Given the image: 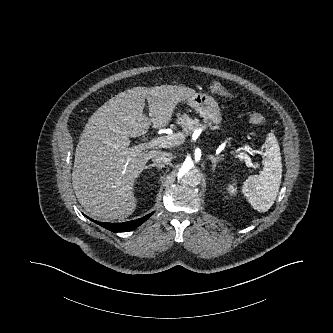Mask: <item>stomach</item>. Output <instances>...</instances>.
Masks as SVG:
<instances>
[{"label":"stomach","mask_w":333,"mask_h":333,"mask_svg":"<svg viewBox=\"0 0 333 333\" xmlns=\"http://www.w3.org/2000/svg\"><path fill=\"white\" fill-rule=\"evenodd\" d=\"M209 126L220 125L222 116L217 101L204 93L195 92L184 100Z\"/></svg>","instance_id":"stomach-1"}]
</instances>
